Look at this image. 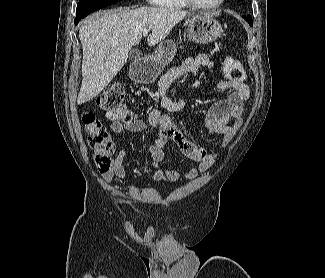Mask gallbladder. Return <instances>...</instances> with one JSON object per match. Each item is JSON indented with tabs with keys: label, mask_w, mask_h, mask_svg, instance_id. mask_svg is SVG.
I'll use <instances>...</instances> for the list:
<instances>
[{
	"label": "gallbladder",
	"mask_w": 325,
	"mask_h": 278,
	"mask_svg": "<svg viewBox=\"0 0 325 278\" xmlns=\"http://www.w3.org/2000/svg\"><path fill=\"white\" fill-rule=\"evenodd\" d=\"M141 56V52L138 49H133L130 51V58L132 60H138Z\"/></svg>",
	"instance_id": "1"
}]
</instances>
